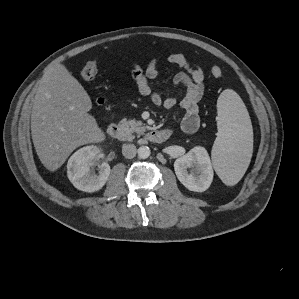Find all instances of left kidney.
I'll list each match as a JSON object with an SVG mask.
<instances>
[{
    "mask_svg": "<svg viewBox=\"0 0 299 299\" xmlns=\"http://www.w3.org/2000/svg\"><path fill=\"white\" fill-rule=\"evenodd\" d=\"M178 180L190 191L203 192L213 180V168L204 147H194L174 162Z\"/></svg>",
    "mask_w": 299,
    "mask_h": 299,
    "instance_id": "obj_1",
    "label": "left kidney"
}]
</instances>
